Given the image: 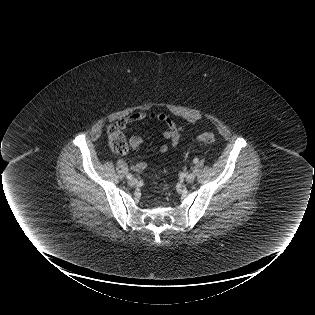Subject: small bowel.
Returning <instances> with one entry per match:
<instances>
[{
    "label": "small bowel",
    "instance_id": "1",
    "mask_svg": "<svg viewBox=\"0 0 315 315\" xmlns=\"http://www.w3.org/2000/svg\"><path fill=\"white\" fill-rule=\"evenodd\" d=\"M145 120H157L164 125L163 136L169 141V146L166 144H161L158 148L160 153H166L169 149H178L181 142L184 129L177 125L171 117L164 113H150L139 111L132 113L119 121L123 129L127 124L137 123ZM143 143V139L139 135H133L129 139V144L132 150H138ZM133 170L136 172H142L146 168L145 162H137L132 166Z\"/></svg>",
    "mask_w": 315,
    "mask_h": 315
}]
</instances>
